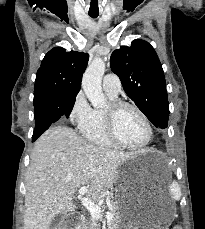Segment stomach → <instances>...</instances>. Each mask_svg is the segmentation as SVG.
I'll return each instance as SVG.
<instances>
[{"mask_svg":"<svg viewBox=\"0 0 205 229\" xmlns=\"http://www.w3.org/2000/svg\"><path fill=\"white\" fill-rule=\"evenodd\" d=\"M150 152L143 151L125 162L116 175L119 206V229H168L174 219L173 205L148 204L139 193L137 185L143 174L142 159Z\"/></svg>","mask_w":205,"mask_h":229,"instance_id":"0dacf381","label":"stomach"}]
</instances>
